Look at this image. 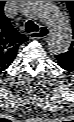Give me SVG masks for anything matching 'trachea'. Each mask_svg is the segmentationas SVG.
<instances>
[{"label":"trachea","mask_w":74,"mask_h":122,"mask_svg":"<svg viewBox=\"0 0 74 122\" xmlns=\"http://www.w3.org/2000/svg\"><path fill=\"white\" fill-rule=\"evenodd\" d=\"M25 30L28 32V33H32V32H37L39 31V28L38 26L31 20L27 21L26 24H25Z\"/></svg>","instance_id":"1"}]
</instances>
